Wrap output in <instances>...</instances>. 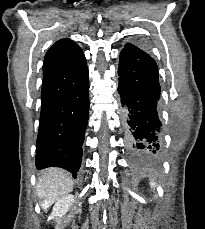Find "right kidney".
<instances>
[{
  "label": "right kidney",
  "instance_id": "1",
  "mask_svg": "<svg viewBox=\"0 0 205 229\" xmlns=\"http://www.w3.org/2000/svg\"><path fill=\"white\" fill-rule=\"evenodd\" d=\"M74 202V196L73 195H67L63 198L59 199L53 209H52V218L59 220V218H62L66 212L69 210V208L72 206Z\"/></svg>",
  "mask_w": 205,
  "mask_h": 229
}]
</instances>
